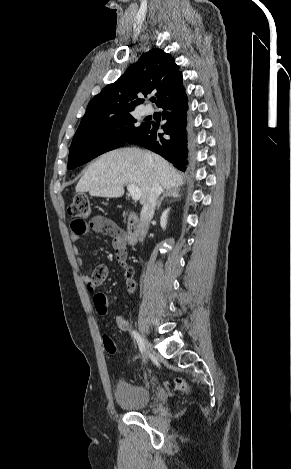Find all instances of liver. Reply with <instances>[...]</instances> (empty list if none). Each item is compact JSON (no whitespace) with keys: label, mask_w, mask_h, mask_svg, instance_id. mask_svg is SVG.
<instances>
[{"label":"liver","mask_w":291,"mask_h":469,"mask_svg":"<svg viewBox=\"0 0 291 469\" xmlns=\"http://www.w3.org/2000/svg\"><path fill=\"white\" fill-rule=\"evenodd\" d=\"M149 154L151 161L146 159ZM168 189L183 185V177L161 156L138 148H121L100 156L85 171L76 192L90 196L118 198L124 195L125 184L141 189L140 203L145 204L153 182Z\"/></svg>","instance_id":"1"}]
</instances>
